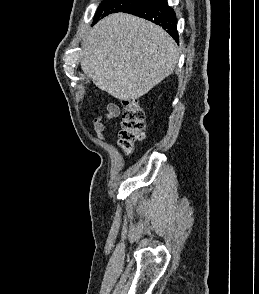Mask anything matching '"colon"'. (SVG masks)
Listing matches in <instances>:
<instances>
[{"instance_id":"colon-1","label":"colon","mask_w":259,"mask_h":294,"mask_svg":"<svg viewBox=\"0 0 259 294\" xmlns=\"http://www.w3.org/2000/svg\"><path fill=\"white\" fill-rule=\"evenodd\" d=\"M145 114L135 99L123 101L120 143L130 152L136 142L144 137Z\"/></svg>"}]
</instances>
